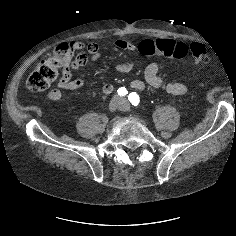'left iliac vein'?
Returning a JSON list of instances; mask_svg holds the SVG:
<instances>
[{
    "instance_id": "1",
    "label": "left iliac vein",
    "mask_w": 236,
    "mask_h": 236,
    "mask_svg": "<svg viewBox=\"0 0 236 236\" xmlns=\"http://www.w3.org/2000/svg\"><path fill=\"white\" fill-rule=\"evenodd\" d=\"M122 101H123V107H122V109H123L124 111L128 112V111H129V107H128V105H127L126 99H123Z\"/></svg>"
}]
</instances>
